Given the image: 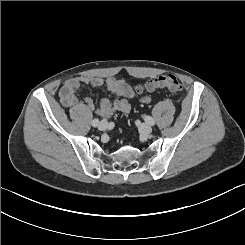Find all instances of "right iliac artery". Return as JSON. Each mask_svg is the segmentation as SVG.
<instances>
[{
  "instance_id": "1",
  "label": "right iliac artery",
  "mask_w": 245,
  "mask_h": 245,
  "mask_svg": "<svg viewBox=\"0 0 245 245\" xmlns=\"http://www.w3.org/2000/svg\"><path fill=\"white\" fill-rule=\"evenodd\" d=\"M91 124H92L93 127H97L98 124H99V119L92 120V123Z\"/></svg>"
}]
</instances>
